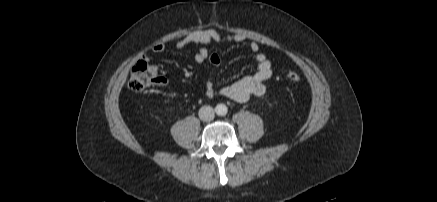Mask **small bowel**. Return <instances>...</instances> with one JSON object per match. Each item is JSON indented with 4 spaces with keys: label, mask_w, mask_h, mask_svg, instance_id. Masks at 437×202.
Here are the masks:
<instances>
[{
    "label": "small bowel",
    "mask_w": 437,
    "mask_h": 202,
    "mask_svg": "<svg viewBox=\"0 0 437 202\" xmlns=\"http://www.w3.org/2000/svg\"><path fill=\"white\" fill-rule=\"evenodd\" d=\"M245 39V36L242 34L221 35L214 29H205L180 35L174 38L173 42L178 49L184 48L189 44L201 45L194 56L195 61L198 63L208 62L212 71H215L220 66L221 59L216 52H210L204 46L210 43H241L244 42ZM165 49L166 47L163 43H157L151 50L153 53L161 54ZM249 50L254 55L257 64L256 70L250 75L223 86L216 85L213 80V75H211L207 82V97L224 96L242 103L251 98L264 95L266 91L265 81H267L273 73L272 64L265 53L260 51L258 43H250ZM143 59L148 60V54H144Z\"/></svg>",
    "instance_id": "obj_1"
}]
</instances>
